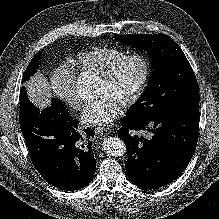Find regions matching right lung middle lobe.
Wrapping results in <instances>:
<instances>
[{
  "mask_svg": "<svg viewBox=\"0 0 219 219\" xmlns=\"http://www.w3.org/2000/svg\"><path fill=\"white\" fill-rule=\"evenodd\" d=\"M41 52H38L33 59L31 60L30 64L28 65L24 76H23V82L28 80L31 75H33L36 72V69L39 66V59H40ZM52 105L55 106L58 109L65 110L64 104L61 100L54 98L52 101Z\"/></svg>",
  "mask_w": 219,
  "mask_h": 219,
  "instance_id": "obj_1",
  "label": "right lung middle lobe"
}]
</instances>
